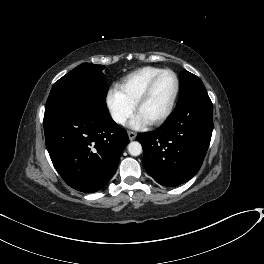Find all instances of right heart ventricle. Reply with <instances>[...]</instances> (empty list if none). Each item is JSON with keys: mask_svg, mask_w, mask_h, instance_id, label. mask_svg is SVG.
<instances>
[{"mask_svg": "<svg viewBox=\"0 0 264 264\" xmlns=\"http://www.w3.org/2000/svg\"><path fill=\"white\" fill-rule=\"evenodd\" d=\"M163 69L157 67H143L126 75L118 85L121 92L136 103L149 81Z\"/></svg>", "mask_w": 264, "mask_h": 264, "instance_id": "right-heart-ventricle-1", "label": "right heart ventricle"}]
</instances>
